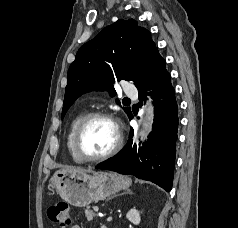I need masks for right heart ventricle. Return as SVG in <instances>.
<instances>
[{
    "mask_svg": "<svg viewBox=\"0 0 238 228\" xmlns=\"http://www.w3.org/2000/svg\"><path fill=\"white\" fill-rule=\"evenodd\" d=\"M84 116H85V113L81 112L72 118L69 124L67 136H66L67 150L71 158L73 159V161L76 163H83V161L76 155L74 151V136H75L76 129Z\"/></svg>",
    "mask_w": 238,
    "mask_h": 228,
    "instance_id": "obj_1",
    "label": "right heart ventricle"
}]
</instances>
